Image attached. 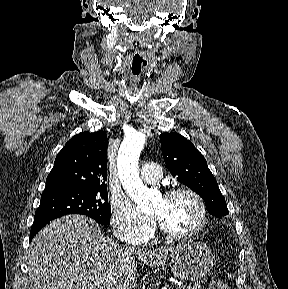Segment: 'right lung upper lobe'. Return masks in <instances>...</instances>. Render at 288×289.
<instances>
[{
	"label": "right lung upper lobe",
	"instance_id": "1",
	"mask_svg": "<svg viewBox=\"0 0 288 289\" xmlns=\"http://www.w3.org/2000/svg\"><path fill=\"white\" fill-rule=\"evenodd\" d=\"M107 146L103 131L72 137L57 155L45 189L107 187Z\"/></svg>",
	"mask_w": 288,
	"mask_h": 289
}]
</instances>
